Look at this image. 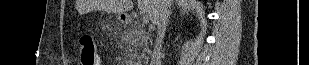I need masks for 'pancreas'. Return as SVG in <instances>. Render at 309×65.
<instances>
[{
    "instance_id": "obj_1",
    "label": "pancreas",
    "mask_w": 309,
    "mask_h": 65,
    "mask_svg": "<svg viewBox=\"0 0 309 65\" xmlns=\"http://www.w3.org/2000/svg\"><path fill=\"white\" fill-rule=\"evenodd\" d=\"M130 50L128 57L137 61H142L145 53L149 51L148 44L150 39L149 33L144 28L143 24L134 22L130 29Z\"/></svg>"
}]
</instances>
